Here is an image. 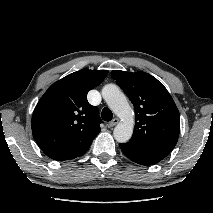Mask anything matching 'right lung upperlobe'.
<instances>
[{
  "label": "right lung upper lobe",
  "instance_id": "right-lung-upper-lobe-1",
  "mask_svg": "<svg viewBox=\"0 0 213 213\" xmlns=\"http://www.w3.org/2000/svg\"><path fill=\"white\" fill-rule=\"evenodd\" d=\"M107 70L81 69L52 84L32 116V133L50 158H72L86 152L102 123L87 93L107 76Z\"/></svg>",
  "mask_w": 213,
  "mask_h": 213
}]
</instances>
